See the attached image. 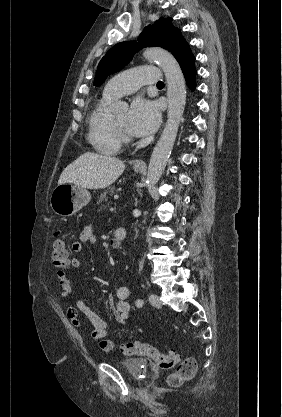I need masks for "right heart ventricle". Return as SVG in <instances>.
I'll use <instances>...</instances> for the list:
<instances>
[{"instance_id": "e07e8e85", "label": "right heart ventricle", "mask_w": 282, "mask_h": 417, "mask_svg": "<svg viewBox=\"0 0 282 417\" xmlns=\"http://www.w3.org/2000/svg\"><path fill=\"white\" fill-rule=\"evenodd\" d=\"M113 99L103 96L90 114L88 139L98 150L105 153L116 152L120 147V139L111 125L109 105Z\"/></svg>"}]
</instances>
